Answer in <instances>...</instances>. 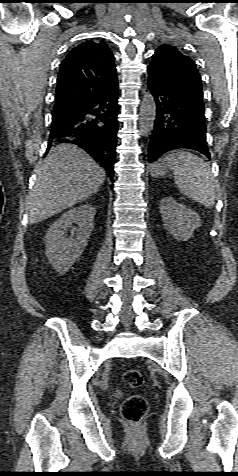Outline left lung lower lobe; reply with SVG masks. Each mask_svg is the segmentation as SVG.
Segmentation results:
<instances>
[{"instance_id":"0a47b994","label":"left lung lower lobe","mask_w":238,"mask_h":476,"mask_svg":"<svg viewBox=\"0 0 238 476\" xmlns=\"http://www.w3.org/2000/svg\"><path fill=\"white\" fill-rule=\"evenodd\" d=\"M148 86L156 105L148 161L177 149H192L210 158L203 102L177 92L150 71Z\"/></svg>"}]
</instances>
